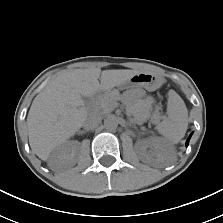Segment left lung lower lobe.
I'll return each instance as SVG.
<instances>
[{
	"label": "left lung lower lobe",
	"instance_id": "0a47b994",
	"mask_svg": "<svg viewBox=\"0 0 223 223\" xmlns=\"http://www.w3.org/2000/svg\"><path fill=\"white\" fill-rule=\"evenodd\" d=\"M191 136V135H190ZM189 140H190V137L188 138L187 142H186V145L188 146L189 144Z\"/></svg>",
	"mask_w": 223,
	"mask_h": 223
}]
</instances>
